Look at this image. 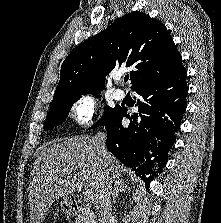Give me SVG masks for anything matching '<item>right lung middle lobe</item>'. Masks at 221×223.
Returning <instances> with one entry per match:
<instances>
[{"instance_id":"obj_1","label":"right lung middle lobe","mask_w":221,"mask_h":223,"mask_svg":"<svg viewBox=\"0 0 221 223\" xmlns=\"http://www.w3.org/2000/svg\"><path fill=\"white\" fill-rule=\"evenodd\" d=\"M99 92H93L92 94H98ZM89 94V93H86ZM83 94H78L70 97H66L60 100L53 101L51 103V107L48 113V117L46 119V123L44 126V130H50L53 127H56L60 123H62L67 115L69 114V111L75 101L80 99V96ZM119 109V107L110 108L105 107L104 115L103 117L97 121L92 128H95L100 125H104Z\"/></svg>"}]
</instances>
